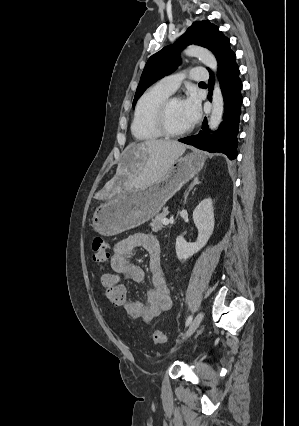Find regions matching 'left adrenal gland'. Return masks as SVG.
Wrapping results in <instances>:
<instances>
[{
	"label": "left adrenal gland",
	"instance_id": "left-adrenal-gland-1",
	"mask_svg": "<svg viewBox=\"0 0 299 426\" xmlns=\"http://www.w3.org/2000/svg\"><path fill=\"white\" fill-rule=\"evenodd\" d=\"M197 184H200V181H199V177H195L194 178V180H193V182L190 184V186H189V188H188V190L185 192V195H184V203H186V200H187V197H188V195H189V192L197 185Z\"/></svg>",
	"mask_w": 299,
	"mask_h": 426
}]
</instances>
